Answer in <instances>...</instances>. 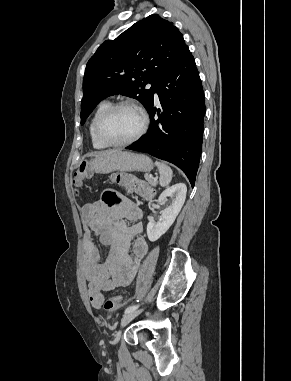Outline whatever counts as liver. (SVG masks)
Returning a JSON list of instances; mask_svg holds the SVG:
<instances>
[{
	"label": "liver",
	"instance_id": "6515ba94",
	"mask_svg": "<svg viewBox=\"0 0 291 381\" xmlns=\"http://www.w3.org/2000/svg\"><path fill=\"white\" fill-rule=\"evenodd\" d=\"M115 152H118V151L117 150H113V151L99 152V153H96L95 156H100V155H105V154H111V153H115Z\"/></svg>",
	"mask_w": 291,
	"mask_h": 381
}]
</instances>
